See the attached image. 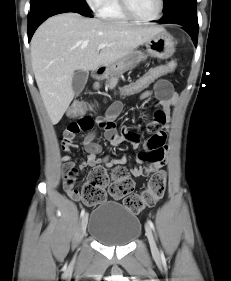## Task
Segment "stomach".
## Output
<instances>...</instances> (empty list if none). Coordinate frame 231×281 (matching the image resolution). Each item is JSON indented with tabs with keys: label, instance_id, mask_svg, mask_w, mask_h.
I'll use <instances>...</instances> for the list:
<instances>
[{
	"label": "stomach",
	"instance_id": "stomach-1",
	"mask_svg": "<svg viewBox=\"0 0 231 281\" xmlns=\"http://www.w3.org/2000/svg\"><path fill=\"white\" fill-rule=\"evenodd\" d=\"M146 51L134 50L129 55L107 67V72L122 73L134 69L141 61L148 56L167 59L175 52L173 38L164 30L145 42Z\"/></svg>",
	"mask_w": 231,
	"mask_h": 281
}]
</instances>
